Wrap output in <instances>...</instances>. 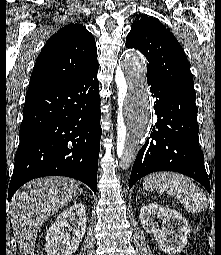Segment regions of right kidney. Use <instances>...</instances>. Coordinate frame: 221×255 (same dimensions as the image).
<instances>
[{"label": "right kidney", "instance_id": "ca27d5eb", "mask_svg": "<svg viewBox=\"0 0 221 255\" xmlns=\"http://www.w3.org/2000/svg\"><path fill=\"white\" fill-rule=\"evenodd\" d=\"M70 223L73 226H70ZM85 230V207L75 202L58 215L47 231V255H72L79 247Z\"/></svg>", "mask_w": 221, "mask_h": 255}]
</instances>
